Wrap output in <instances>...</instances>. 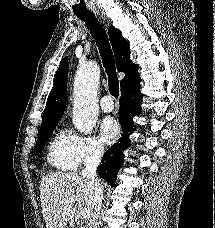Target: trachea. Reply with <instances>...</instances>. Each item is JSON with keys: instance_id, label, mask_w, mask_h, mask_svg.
Instances as JSON below:
<instances>
[{"instance_id": "1", "label": "trachea", "mask_w": 215, "mask_h": 228, "mask_svg": "<svg viewBox=\"0 0 215 228\" xmlns=\"http://www.w3.org/2000/svg\"><path fill=\"white\" fill-rule=\"evenodd\" d=\"M76 16L85 22L87 28L91 32V35L95 39L102 57L103 66L108 75L109 92L113 97L117 98L119 95V81L117 78L113 52L107 34L94 14H76Z\"/></svg>"}]
</instances>
